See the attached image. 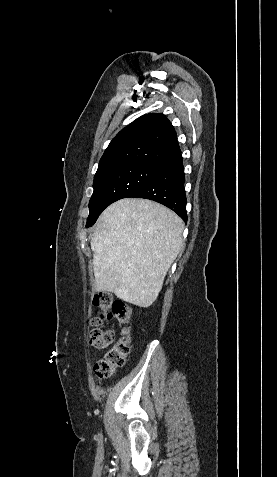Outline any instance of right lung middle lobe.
Here are the masks:
<instances>
[{
  "label": "right lung middle lobe",
  "mask_w": 277,
  "mask_h": 477,
  "mask_svg": "<svg viewBox=\"0 0 277 477\" xmlns=\"http://www.w3.org/2000/svg\"><path fill=\"white\" fill-rule=\"evenodd\" d=\"M159 167L144 164H127L96 173L94 192L89 201L86 227L92 226L102 211L111 203L128 197L147 182Z\"/></svg>",
  "instance_id": "dd1d6c3e"
}]
</instances>
